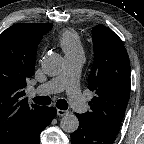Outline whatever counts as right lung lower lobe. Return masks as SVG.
I'll use <instances>...</instances> for the list:
<instances>
[{
    "label": "right lung lower lobe",
    "instance_id": "right-lung-lower-lobe-1",
    "mask_svg": "<svg viewBox=\"0 0 144 144\" xmlns=\"http://www.w3.org/2000/svg\"><path fill=\"white\" fill-rule=\"evenodd\" d=\"M56 115L53 107H43L30 122L23 135L14 144H40V133Z\"/></svg>",
    "mask_w": 144,
    "mask_h": 144
}]
</instances>
